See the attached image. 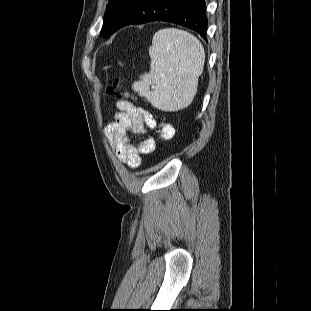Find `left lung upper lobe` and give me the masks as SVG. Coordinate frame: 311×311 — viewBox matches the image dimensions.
Returning a JSON list of instances; mask_svg holds the SVG:
<instances>
[{"instance_id":"5c2ea615","label":"left lung upper lobe","mask_w":311,"mask_h":311,"mask_svg":"<svg viewBox=\"0 0 311 311\" xmlns=\"http://www.w3.org/2000/svg\"><path fill=\"white\" fill-rule=\"evenodd\" d=\"M128 1L129 0H109V4L105 11L101 36L108 37L113 33L118 16Z\"/></svg>"}]
</instances>
